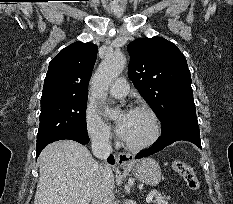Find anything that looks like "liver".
Segmentation results:
<instances>
[{
    "instance_id": "liver-1",
    "label": "liver",
    "mask_w": 233,
    "mask_h": 204,
    "mask_svg": "<svg viewBox=\"0 0 233 204\" xmlns=\"http://www.w3.org/2000/svg\"><path fill=\"white\" fill-rule=\"evenodd\" d=\"M34 204H89L101 166L88 149L72 140L48 145L39 158Z\"/></svg>"
}]
</instances>
